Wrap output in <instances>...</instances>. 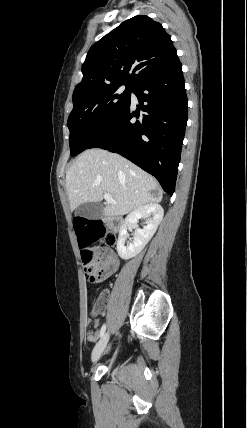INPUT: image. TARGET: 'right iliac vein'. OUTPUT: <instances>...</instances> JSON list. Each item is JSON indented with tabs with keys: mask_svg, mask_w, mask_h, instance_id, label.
I'll use <instances>...</instances> for the list:
<instances>
[{
	"mask_svg": "<svg viewBox=\"0 0 247 428\" xmlns=\"http://www.w3.org/2000/svg\"><path fill=\"white\" fill-rule=\"evenodd\" d=\"M108 341H109V333H106L102 336V338L99 340V342L96 344V346L93 349L92 357H91L93 363L99 360V358L101 357L103 351L107 346Z\"/></svg>",
	"mask_w": 247,
	"mask_h": 428,
	"instance_id": "63e3f726",
	"label": "right iliac vein"
}]
</instances>
